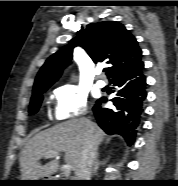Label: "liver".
<instances>
[{
	"label": "liver",
	"instance_id": "liver-1",
	"mask_svg": "<svg viewBox=\"0 0 178 186\" xmlns=\"http://www.w3.org/2000/svg\"><path fill=\"white\" fill-rule=\"evenodd\" d=\"M85 130V119H72L33 136L20 155L22 180H39L56 173L59 168L57 159L46 165H41L39 162L42 158H46L48 152H65L66 163L75 171L82 157ZM92 133L96 144L99 145L104 138L103 130L92 123Z\"/></svg>",
	"mask_w": 178,
	"mask_h": 186
}]
</instances>
